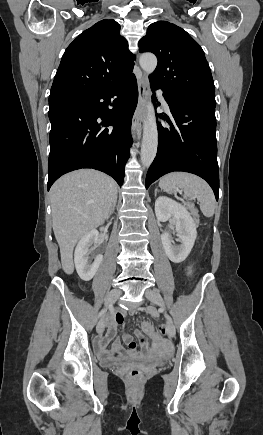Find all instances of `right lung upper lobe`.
<instances>
[{
	"label": "right lung upper lobe",
	"mask_w": 263,
	"mask_h": 435,
	"mask_svg": "<svg viewBox=\"0 0 263 435\" xmlns=\"http://www.w3.org/2000/svg\"><path fill=\"white\" fill-rule=\"evenodd\" d=\"M114 20H101L66 49L55 75L49 104L80 98L132 75L135 56Z\"/></svg>",
	"instance_id": "1"
}]
</instances>
